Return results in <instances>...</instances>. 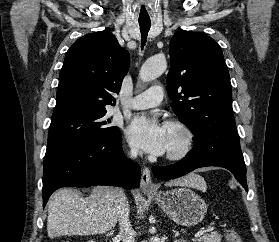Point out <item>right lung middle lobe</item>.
Masks as SVG:
<instances>
[{
  "label": "right lung middle lobe",
  "instance_id": "obj_1",
  "mask_svg": "<svg viewBox=\"0 0 279 242\" xmlns=\"http://www.w3.org/2000/svg\"><path fill=\"white\" fill-rule=\"evenodd\" d=\"M106 110L78 109L52 115L46 154L62 148L96 143L120 135L118 127L105 120Z\"/></svg>",
  "mask_w": 279,
  "mask_h": 242
}]
</instances>
